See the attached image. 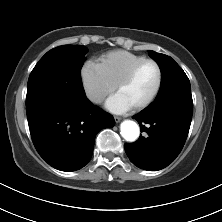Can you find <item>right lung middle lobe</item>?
<instances>
[{"label": "right lung middle lobe", "mask_w": 222, "mask_h": 222, "mask_svg": "<svg viewBox=\"0 0 222 222\" xmlns=\"http://www.w3.org/2000/svg\"><path fill=\"white\" fill-rule=\"evenodd\" d=\"M87 52L82 45H64L48 51L29 76L26 109L41 104H80L86 98L80 72Z\"/></svg>", "instance_id": "obj_1"}]
</instances>
